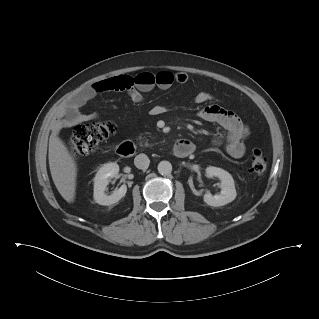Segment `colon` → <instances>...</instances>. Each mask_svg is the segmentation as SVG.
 Returning a JSON list of instances; mask_svg holds the SVG:
<instances>
[{"mask_svg":"<svg viewBox=\"0 0 319 319\" xmlns=\"http://www.w3.org/2000/svg\"><path fill=\"white\" fill-rule=\"evenodd\" d=\"M156 83V74L145 72L124 83V88L134 85L148 87ZM116 131V125L111 121L96 122L79 125L74 129L69 141L70 152L76 157L86 156L95 152L99 145L112 136ZM251 172L255 178L260 179L268 165L267 157L261 151H255L251 155Z\"/></svg>","mask_w":319,"mask_h":319,"instance_id":"1","label":"colon"}]
</instances>
